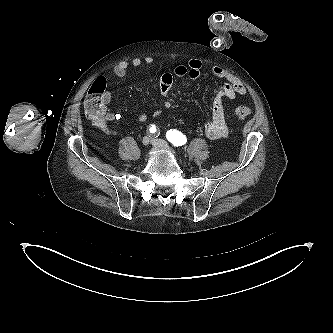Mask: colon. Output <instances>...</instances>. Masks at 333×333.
Instances as JSON below:
<instances>
[{
	"label": "colon",
	"mask_w": 333,
	"mask_h": 333,
	"mask_svg": "<svg viewBox=\"0 0 333 333\" xmlns=\"http://www.w3.org/2000/svg\"><path fill=\"white\" fill-rule=\"evenodd\" d=\"M106 81L104 78H97L91 85L84 101V110L91 121L100 120L106 112ZM251 114L248 106H238L234 110V117L239 120L246 119Z\"/></svg>",
	"instance_id": "colon-1"
}]
</instances>
